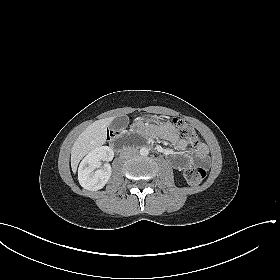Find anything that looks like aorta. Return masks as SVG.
Masks as SVG:
<instances>
[{
	"instance_id": "1",
	"label": "aorta",
	"mask_w": 280,
	"mask_h": 280,
	"mask_svg": "<svg viewBox=\"0 0 280 280\" xmlns=\"http://www.w3.org/2000/svg\"><path fill=\"white\" fill-rule=\"evenodd\" d=\"M148 154H149V149H148V148L142 147V148L140 149V155H142V156H147Z\"/></svg>"
}]
</instances>
